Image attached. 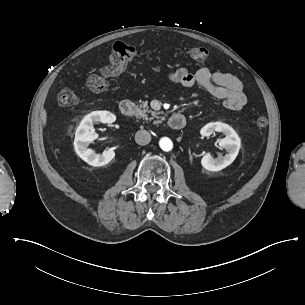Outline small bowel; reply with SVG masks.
Listing matches in <instances>:
<instances>
[{
	"label": "small bowel",
	"instance_id": "obj_1",
	"mask_svg": "<svg viewBox=\"0 0 305 305\" xmlns=\"http://www.w3.org/2000/svg\"><path fill=\"white\" fill-rule=\"evenodd\" d=\"M109 61H112V58H109ZM166 79L173 84L185 87L198 84L221 100L223 106L231 111L241 110L247 102L243 84L237 77L223 72H211L207 67L196 71L179 68L168 73Z\"/></svg>",
	"mask_w": 305,
	"mask_h": 305
}]
</instances>
